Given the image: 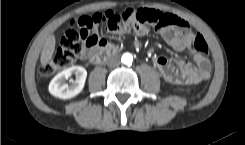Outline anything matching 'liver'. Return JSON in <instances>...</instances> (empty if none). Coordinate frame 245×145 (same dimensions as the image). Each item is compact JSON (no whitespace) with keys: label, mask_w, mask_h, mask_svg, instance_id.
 <instances>
[{"label":"liver","mask_w":245,"mask_h":145,"mask_svg":"<svg viewBox=\"0 0 245 145\" xmlns=\"http://www.w3.org/2000/svg\"><path fill=\"white\" fill-rule=\"evenodd\" d=\"M55 45H56V39L54 35H50L43 46L41 56H40V61L42 67H45L48 62L51 60L54 50H55Z\"/></svg>","instance_id":"6515ba94"}]
</instances>
